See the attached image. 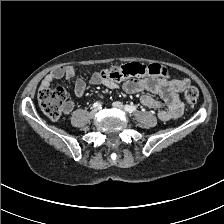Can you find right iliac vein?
I'll return each mask as SVG.
<instances>
[{
	"label": "right iliac vein",
	"instance_id": "obj_1",
	"mask_svg": "<svg viewBox=\"0 0 224 224\" xmlns=\"http://www.w3.org/2000/svg\"><path fill=\"white\" fill-rule=\"evenodd\" d=\"M96 115H97V109H93V110L89 113V116H90L91 118H94Z\"/></svg>",
	"mask_w": 224,
	"mask_h": 224
}]
</instances>
